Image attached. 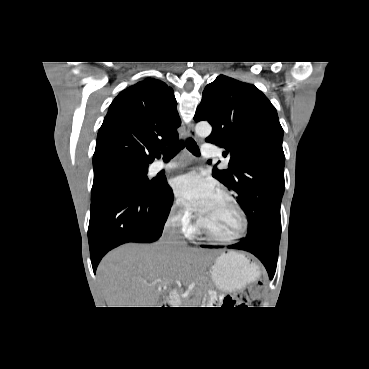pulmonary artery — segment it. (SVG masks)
Here are the masks:
<instances>
[{"mask_svg":"<svg viewBox=\"0 0 369 369\" xmlns=\"http://www.w3.org/2000/svg\"><path fill=\"white\" fill-rule=\"evenodd\" d=\"M216 152H217L216 147L212 144H204L202 146V149H201V154L205 158L214 157L216 155ZM177 167H178V165L176 163H173V162L167 163V164L159 163L157 165V168L159 170H161V169H173V168H177Z\"/></svg>","mask_w":369,"mask_h":369,"instance_id":"e3ab8cb5","label":"pulmonary artery"}]
</instances>
